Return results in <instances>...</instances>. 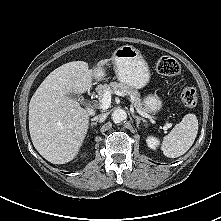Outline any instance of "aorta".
<instances>
[{"label":"aorta","instance_id":"1","mask_svg":"<svg viewBox=\"0 0 221 221\" xmlns=\"http://www.w3.org/2000/svg\"><path fill=\"white\" fill-rule=\"evenodd\" d=\"M127 118V114L125 112V110L123 109H115L113 112H112V120L114 123H120L124 120H126Z\"/></svg>","mask_w":221,"mask_h":221}]
</instances>
